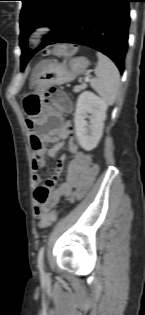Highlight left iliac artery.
<instances>
[{"label":"left iliac artery","instance_id":"left-iliac-artery-1","mask_svg":"<svg viewBox=\"0 0 145 315\" xmlns=\"http://www.w3.org/2000/svg\"><path fill=\"white\" fill-rule=\"evenodd\" d=\"M44 252H45V246H42L40 248L38 256H37L38 267L41 268V269L44 268V262H43Z\"/></svg>","mask_w":145,"mask_h":315}]
</instances>
